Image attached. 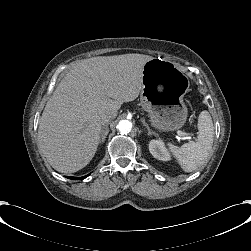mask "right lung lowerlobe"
<instances>
[{
  "mask_svg": "<svg viewBox=\"0 0 251 251\" xmlns=\"http://www.w3.org/2000/svg\"><path fill=\"white\" fill-rule=\"evenodd\" d=\"M88 175H89V174H88ZM88 175L83 176V177H69V176H67V178L73 179V180H82V179L86 178Z\"/></svg>",
  "mask_w": 251,
  "mask_h": 251,
  "instance_id": "98d812e1",
  "label": "right lung lower lobe"
}]
</instances>
